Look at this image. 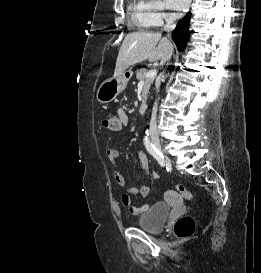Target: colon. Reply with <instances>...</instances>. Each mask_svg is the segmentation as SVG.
Wrapping results in <instances>:
<instances>
[{
	"instance_id": "colon-1",
	"label": "colon",
	"mask_w": 261,
	"mask_h": 273,
	"mask_svg": "<svg viewBox=\"0 0 261 273\" xmlns=\"http://www.w3.org/2000/svg\"><path fill=\"white\" fill-rule=\"evenodd\" d=\"M104 126L111 131H119L121 122L118 116H109L104 120ZM178 194L184 199H191L192 193L184 186H177ZM195 229L194 220L190 216H185L176 221L174 225V233L179 239H186L193 235Z\"/></svg>"
}]
</instances>
